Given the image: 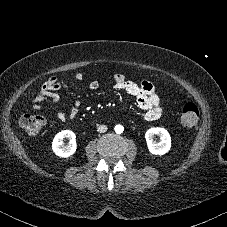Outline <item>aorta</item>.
Returning a JSON list of instances; mask_svg holds the SVG:
<instances>
[{
    "label": "aorta",
    "mask_w": 227,
    "mask_h": 227,
    "mask_svg": "<svg viewBox=\"0 0 227 227\" xmlns=\"http://www.w3.org/2000/svg\"><path fill=\"white\" fill-rule=\"evenodd\" d=\"M114 130L117 134H121L124 131V127L122 125H116Z\"/></svg>",
    "instance_id": "aorta-1"
}]
</instances>
